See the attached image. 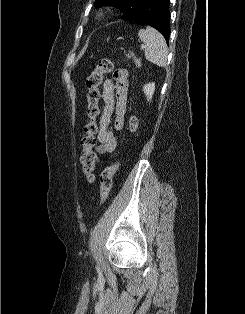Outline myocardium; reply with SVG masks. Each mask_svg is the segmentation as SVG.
<instances>
[{"label":"myocardium","mask_w":245,"mask_h":314,"mask_svg":"<svg viewBox=\"0 0 245 314\" xmlns=\"http://www.w3.org/2000/svg\"><path fill=\"white\" fill-rule=\"evenodd\" d=\"M106 15H107V11L101 10V11L98 12L97 18H98V19H103V18L106 17Z\"/></svg>","instance_id":"myocardium-1"}]
</instances>
